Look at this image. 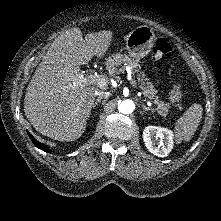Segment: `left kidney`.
<instances>
[{
    "label": "left kidney",
    "instance_id": "left-kidney-1",
    "mask_svg": "<svg viewBox=\"0 0 221 221\" xmlns=\"http://www.w3.org/2000/svg\"><path fill=\"white\" fill-rule=\"evenodd\" d=\"M173 132L167 128L147 126L143 131L145 146L152 154L166 157L173 148Z\"/></svg>",
    "mask_w": 221,
    "mask_h": 221
}]
</instances>
